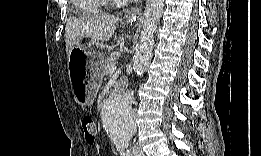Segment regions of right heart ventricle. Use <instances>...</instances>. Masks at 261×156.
Wrapping results in <instances>:
<instances>
[{
  "instance_id": "1",
  "label": "right heart ventricle",
  "mask_w": 261,
  "mask_h": 156,
  "mask_svg": "<svg viewBox=\"0 0 261 156\" xmlns=\"http://www.w3.org/2000/svg\"><path fill=\"white\" fill-rule=\"evenodd\" d=\"M75 5L84 10H95L98 8L96 0H76Z\"/></svg>"
}]
</instances>
